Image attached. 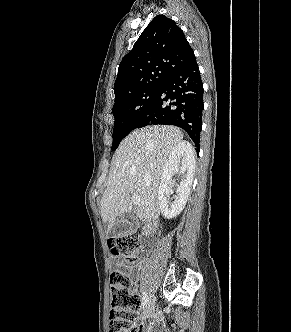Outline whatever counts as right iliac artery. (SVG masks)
Listing matches in <instances>:
<instances>
[{
    "label": "right iliac artery",
    "instance_id": "obj_1",
    "mask_svg": "<svg viewBox=\"0 0 291 332\" xmlns=\"http://www.w3.org/2000/svg\"><path fill=\"white\" fill-rule=\"evenodd\" d=\"M148 301H149V297H148L147 293H144L143 298H142V307L143 308L147 305Z\"/></svg>",
    "mask_w": 291,
    "mask_h": 332
}]
</instances>
